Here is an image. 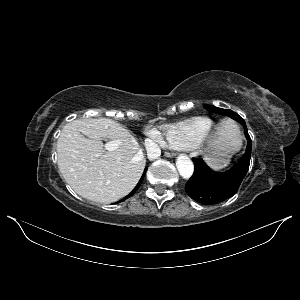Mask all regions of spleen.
<instances>
[{
    "mask_svg": "<svg viewBox=\"0 0 300 300\" xmlns=\"http://www.w3.org/2000/svg\"><path fill=\"white\" fill-rule=\"evenodd\" d=\"M224 124L227 125L231 129V131L235 137H237V138L239 137V132L235 125H233L232 123H230L228 121L224 122Z\"/></svg>",
    "mask_w": 300,
    "mask_h": 300,
    "instance_id": "obj_1",
    "label": "spleen"
}]
</instances>
